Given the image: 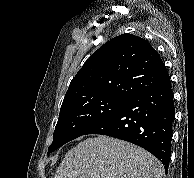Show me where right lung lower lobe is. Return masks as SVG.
Wrapping results in <instances>:
<instances>
[{
    "label": "right lung lower lobe",
    "mask_w": 194,
    "mask_h": 178,
    "mask_svg": "<svg viewBox=\"0 0 194 178\" xmlns=\"http://www.w3.org/2000/svg\"><path fill=\"white\" fill-rule=\"evenodd\" d=\"M174 116L169 81L131 97L83 135L101 134L134 143L156 156L167 172Z\"/></svg>",
    "instance_id": "right-lung-lower-lobe-1"
}]
</instances>
